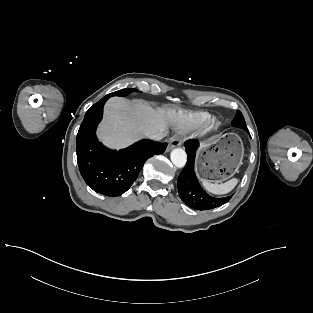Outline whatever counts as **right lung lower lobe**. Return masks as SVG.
Listing matches in <instances>:
<instances>
[{"label": "right lung lower lobe", "mask_w": 313, "mask_h": 313, "mask_svg": "<svg viewBox=\"0 0 313 313\" xmlns=\"http://www.w3.org/2000/svg\"><path fill=\"white\" fill-rule=\"evenodd\" d=\"M109 98L103 97L86 112L77 134L76 153L85 182L98 193L118 196L130 188L148 158L164 153L167 143L144 139L120 151L104 147L95 130Z\"/></svg>", "instance_id": "obj_1"}]
</instances>
